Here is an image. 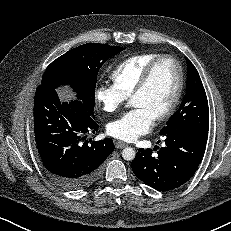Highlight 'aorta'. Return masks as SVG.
I'll return each mask as SVG.
<instances>
[{"label": "aorta", "mask_w": 231, "mask_h": 231, "mask_svg": "<svg viewBox=\"0 0 231 231\" xmlns=\"http://www.w3.org/2000/svg\"><path fill=\"white\" fill-rule=\"evenodd\" d=\"M135 156H136V152L131 147H126L122 151V157H123V159H125L127 161L133 160L135 158Z\"/></svg>", "instance_id": "aorta-1"}]
</instances>
